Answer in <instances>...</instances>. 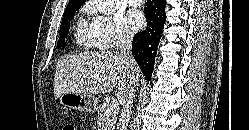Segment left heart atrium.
Listing matches in <instances>:
<instances>
[{
  "mask_svg": "<svg viewBox=\"0 0 249 130\" xmlns=\"http://www.w3.org/2000/svg\"><path fill=\"white\" fill-rule=\"evenodd\" d=\"M130 23L133 28L139 29L144 24V17L143 15L138 11H133L129 15Z\"/></svg>",
  "mask_w": 249,
  "mask_h": 130,
  "instance_id": "1",
  "label": "left heart atrium"
}]
</instances>
